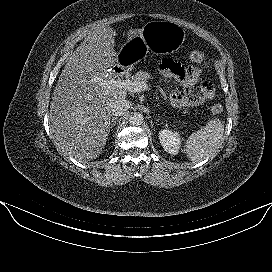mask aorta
Returning a JSON list of instances; mask_svg holds the SVG:
<instances>
[{
    "label": "aorta",
    "mask_w": 272,
    "mask_h": 272,
    "mask_svg": "<svg viewBox=\"0 0 272 272\" xmlns=\"http://www.w3.org/2000/svg\"><path fill=\"white\" fill-rule=\"evenodd\" d=\"M144 117L141 113L135 112L132 113L129 117V123L134 126H139L143 123Z\"/></svg>",
    "instance_id": "1"
}]
</instances>
